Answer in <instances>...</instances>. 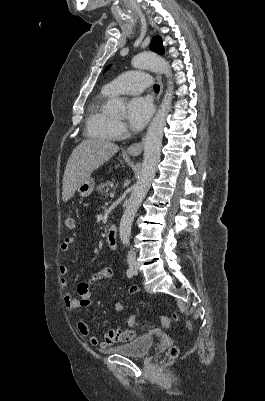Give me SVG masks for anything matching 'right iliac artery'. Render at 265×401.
Returning a JSON list of instances; mask_svg holds the SVG:
<instances>
[{
    "mask_svg": "<svg viewBox=\"0 0 265 401\" xmlns=\"http://www.w3.org/2000/svg\"><path fill=\"white\" fill-rule=\"evenodd\" d=\"M126 274H127V277H128V278H132V277H133L134 272H133L132 267H129V268L127 269Z\"/></svg>",
    "mask_w": 265,
    "mask_h": 401,
    "instance_id": "1",
    "label": "right iliac artery"
}]
</instances>
